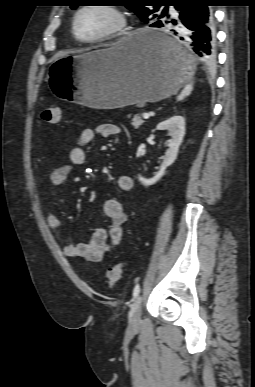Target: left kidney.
<instances>
[{
    "instance_id": "left-kidney-1",
    "label": "left kidney",
    "mask_w": 255,
    "mask_h": 387,
    "mask_svg": "<svg viewBox=\"0 0 255 387\" xmlns=\"http://www.w3.org/2000/svg\"><path fill=\"white\" fill-rule=\"evenodd\" d=\"M157 130H168L171 139L168 140V149L165 152V156L162 164L160 165L159 171L153 178L146 179L138 175V180L144 186L153 185L156 183L164 174L168 166H170L176 159L179 146L182 143L185 135V119L180 115H175L165 121H162L157 125Z\"/></svg>"
}]
</instances>
